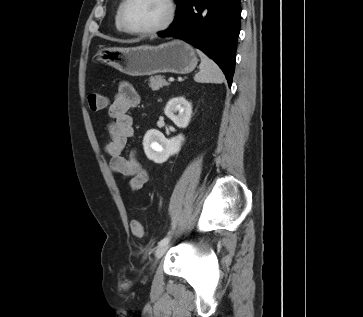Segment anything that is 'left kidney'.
<instances>
[{
    "instance_id": "1",
    "label": "left kidney",
    "mask_w": 363,
    "mask_h": 317,
    "mask_svg": "<svg viewBox=\"0 0 363 317\" xmlns=\"http://www.w3.org/2000/svg\"><path fill=\"white\" fill-rule=\"evenodd\" d=\"M177 111L178 115L175 114ZM164 113L177 127L186 128L191 119L192 105L184 97H175L168 101ZM183 141L182 134L166 139L160 131L151 129L144 136V152L148 159L155 163H163L180 151Z\"/></svg>"
}]
</instances>
